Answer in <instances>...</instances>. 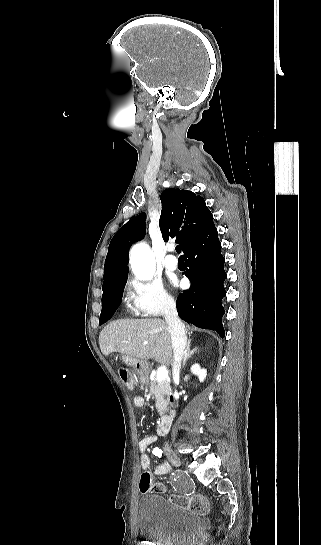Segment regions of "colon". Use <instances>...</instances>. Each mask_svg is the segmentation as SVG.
<instances>
[{
  "instance_id": "obj_1",
  "label": "colon",
  "mask_w": 321,
  "mask_h": 545,
  "mask_svg": "<svg viewBox=\"0 0 321 545\" xmlns=\"http://www.w3.org/2000/svg\"><path fill=\"white\" fill-rule=\"evenodd\" d=\"M118 375L128 390H133L135 388V377L131 370L125 366H120L118 367ZM139 488L142 493L164 491V487L161 484L154 482L152 474L149 471H144L141 474ZM170 499L177 505L186 507L200 514H206L209 510L207 499L199 494L187 496L171 495Z\"/></svg>"
}]
</instances>
